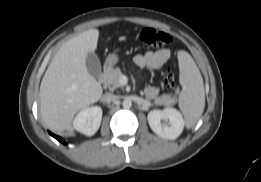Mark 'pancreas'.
Wrapping results in <instances>:
<instances>
[{
	"label": "pancreas",
	"instance_id": "obj_1",
	"mask_svg": "<svg viewBox=\"0 0 261 182\" xmlns=\"http://www.w3.org/2000/svg\"><path fill=\"white\" fill-rule=\"evenodd\" d=\"M122 72L119 68L112 69L106 74V83L108 87H110L112 90L116 88L122 87V84L120 83V78L122 77ZM175 101V99L171 98L170 96L164 95L158 99H156V103L161 104L164 101H169L171 100Z\"/></svg>",
	"mask_w": 261,
	"mask_h": 182
}]
</instances>
